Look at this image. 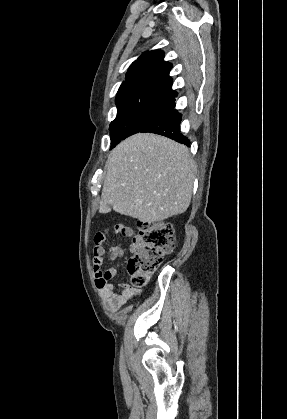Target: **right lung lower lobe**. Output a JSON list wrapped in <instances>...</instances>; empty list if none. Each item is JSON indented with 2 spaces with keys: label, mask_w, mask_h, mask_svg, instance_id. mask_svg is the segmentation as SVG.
<instances>
[{
  "label": "right lung lower lobe",
  "mask_w": 287,
  "mask_h": 419,
  "mask_svg": "<svg viewBox=\"0 0 287 419\" xmlns=\"http://www.w3.org/2000/svg\"><path fill=\"white\" fill-rule=\"evenodd\" d=\"M181 114L171 109L145 126L140 132H151L169 137L179 143L189 145V140L180 131Z\"/></svg>",
  "instance_id": "1"
}]
</instances>
